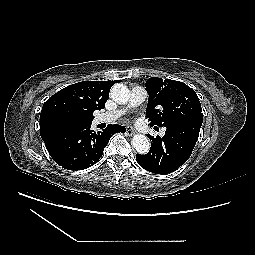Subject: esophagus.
Here are the masks:
<instances>
[{"instance_id":"esophagus-1","label":"esophagus","mask_w":255,"mask_h":255,"mask_svg":"<svg viewBox=\"0 0 255 255\" xmlns=\"http://www.w3.org/2000/svg\"><path fill=\"white\" fill-rule=\"evenodd\" d=\"M126 133L127 135L132 136L134 134L133 128L131 126H128L126 129Z\"/></svg>"}]
</instances>
